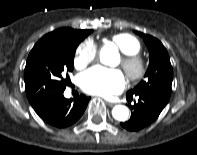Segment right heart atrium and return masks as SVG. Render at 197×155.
Masks as SVG:
<instances>
[{
	"label": "right heart atrium",
	"instance_id": "right-heart-atrium-1",
	"mask_svg": "<svg viewBox=\"0 0 197 155\" xmlns=\"http://www.w3.org/2000/svg\"><path fill=\"white\" fill-rule=\"evenodd\" d=\"M97 56V47L92 41L81 43L75 54L74 65L78 69L85 68L92 63Z\"/></svg>",
	"mask_w": 197,
	"mask_h": 155
}]
</instances>
